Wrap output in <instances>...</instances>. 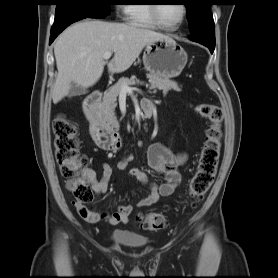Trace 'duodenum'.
<instances>
[{
    "instance_id": "duodenum-1",
    "label": "duodenum",
    "mask_w": 278,
    "mask_h": 278,
    "mask_svg": "<svg viewBox=\"0 0 278 278\" xmlns=\"http://www.w3.org/2000/svg\"><path fill=\"white\" fill-rule=\"evenodd\" d=\"M101 99V92L94 91L87 96L83 102L84 113L90 122V132L95 142L104 149L117 150L122 145L119 133L109 127L98 113V104ZM145 112L149 115V107H145Z\"/></svg>"
}]
</instances>
